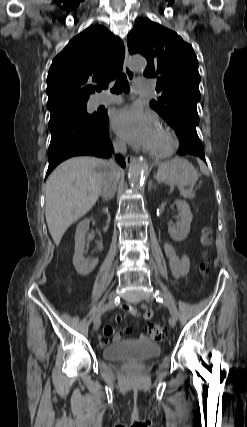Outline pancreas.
Returning <instances> with one entry per match:
<instances>
[{
  "label": "pancreas",
  "instance_id": "pancreas-1",
  "mask_svg": "<svg viewBox=\"0 0 247 427\" xmlns=\"http://www.w3.org/2000/svg\"><path fill=\"white\" fill-rule=\"evenodd\" d=\"M182 194L186 197V198H192L193 197V193L191 191H182Z\"/></svg>",
  "mask_w": 247,
  "mask_h": 427
}]
</instances>
